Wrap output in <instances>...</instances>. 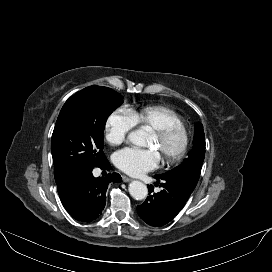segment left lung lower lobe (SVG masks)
<instances>
[{
  "label": "left lung lower lobe",
  "instance_id": "obj_1",
  "mask_svg": "<svg viewBox=\"0 0 272 272\" xmlns=\"http://www.w3.org/2000/svg\"><path fill=\"white\" fill-rule=\"evenodd\" d=\"M161 192L151 194L154 187L149 186V196L137 206L139 216L151 226H163L170 222L184 207L195 187L168 177L156 175Z\"/></svg>",
  "mask_w": 272,
  "mask_h": 272
}]
</instances>
